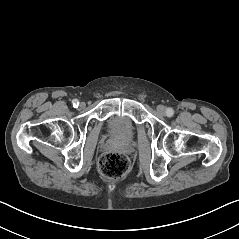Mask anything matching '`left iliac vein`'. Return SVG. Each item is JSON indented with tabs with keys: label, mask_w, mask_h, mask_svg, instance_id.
Here are the masks:
<instances>
[{
	"label": "left iliac vein",
	"mask_w": 239,
	"mask_h": 239,
	"mask_svg": "<svg viewBox=\"0 0 239 239\" xmlns=\"http://www.w3.org/2000/svg\"><path fill=\"white\" fill-rule=\"evenodd\" d=\"M157 111L161 114V115H165L166 114V108L163 105H159L157 106Z\"/></svg>",
	"instance_id": "obj_1"
}]
</instances>
